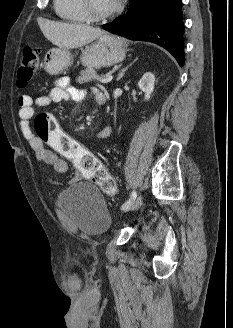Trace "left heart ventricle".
Instances as JSON below:
<instances>
[{
	"label": "left heart ventricle",
	"mask_w": 233,
	"mask_h": 328,
	"mask_svg": "<svg viewBox=\"0 0 233 328\" xmlns=\"http://www.w3.org/2000/svg\"><path fill=\"white\" fill-rule=\"evenodd\" d=\"M118 0H89L91 9L95 13H105L115 7Z\"/></svg>",
	"instance_id": "b2bd125f"
}]
</instances>
